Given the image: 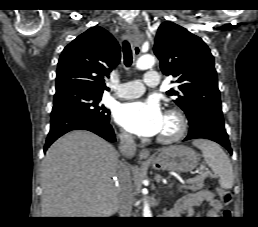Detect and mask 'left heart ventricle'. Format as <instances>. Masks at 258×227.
I'll list each match as a JSON object with an SVG mask.
<instances>
[{
    "label": "left heart ventricle",
    "mask_w": 258,
    "mask_h": 227,
    "mask_svg": "<svg viewBox=\"0 0 258 227\" xmlns=\"http://www.w3.org/2000/svg\"><path fill=\"white\" fill-rule=\"evenodd\" d=\"M175 128V122L168 117H164L163 126L160 131V134H171L172 132H174Z\"/></svg>",
    "instance_id": "b2bd125f"
}]
</instances>
